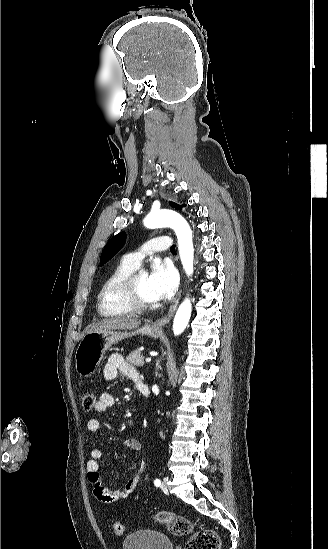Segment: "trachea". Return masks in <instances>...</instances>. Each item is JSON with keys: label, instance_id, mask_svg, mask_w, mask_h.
<instances>
[{"label": "trachea", "instance_id": "obj_1", "mask_svg": "<svg viewBox=\"0 0 328 549\" xmlns=\"http://www.w3.org/2000/svg\"><path fill=\"white\" fill-rule=\"evenodd\" d=\"M175 248H176L175 245H172V246H171V250H172V251H175Z\"/></svg>", "mask_w": 328, "mask_h": 549}]
</instances>
